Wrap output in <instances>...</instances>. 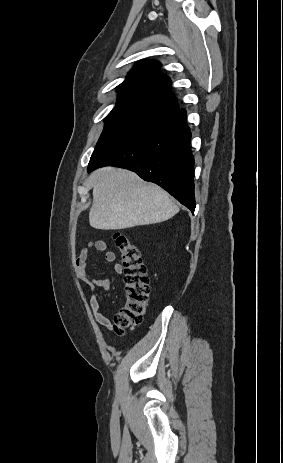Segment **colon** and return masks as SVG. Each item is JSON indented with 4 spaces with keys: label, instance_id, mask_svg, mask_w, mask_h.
<instances>
[{
    "label": "colon",
    "instance_id": "1",
    "mask_svg": "<svg viewBox=\"0 0 283 463\" xmlns=\"http://www.w3.org/2000/svg\"><path fill=\"white\" fill-rule=\"evenodd\" d=\"M113 239L122 258L125 285V302L114 317L113 327L118 334H123L143 320L150 298V285L138 248L120 232H116Z\"/></svg>",
    "mask_w": 283,
    "mask_h": 463
}]
</instances>
